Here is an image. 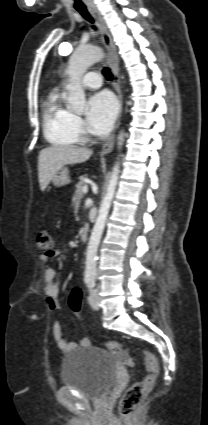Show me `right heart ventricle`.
<instances>
[{
    "label": "right heart ventricle",
    "mask_w": 208,
    "mask_h": 425,
    "mask_svg": "<svg viewBox=\"0 0 208 425\" xmlns=\"http://www.w3.org/2000/svg\"><path fill=\"white\" fill-rule=\"evenodd\" d=\"M43 132L49 143L54 146L71 147L79 143L73 126L74 115L64 105L60 92L49 93L42 106Z\"/></svg>",
    "instance_id": "obj_1"
}]
</instances>
